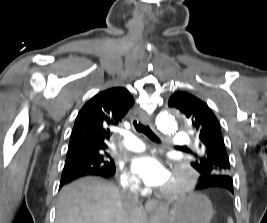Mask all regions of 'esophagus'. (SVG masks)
Here are the masks:
<instances>
[{"label":"esophagus","mask_w":267,"mask_h":223,"mask_svg":"<svg viewBox=\"0 0 267 223\" xmlns=\"http://www.w3.org/2000/svg\"><path fill=\"white\" fill-rule=\"evenodd\" d=\"M139 119L142 123L152 127V124L149 120V118L144 114V113H141L139 115ZM158 207V203L157 201L155 200H149L145 203V208L148 210V211H152L153 209H156Z\"/></svg>","instance_id":"esophagus-1"}]
</instances>
